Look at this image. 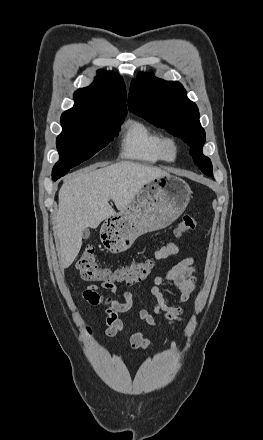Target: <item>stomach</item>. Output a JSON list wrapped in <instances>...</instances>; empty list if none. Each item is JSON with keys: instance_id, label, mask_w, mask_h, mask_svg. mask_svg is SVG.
Masks as SVG:
<instances>
[{"instance_id": "0dacf381", "label": "stomach", "mask_w": 263, "mask_h": 440, "mask_svg": "<svg viewBox=\"0 0 263 440\" xmlns=\"http://www.w3.org/2000/svg\"><path fill=\"white\" fill-rule=\"evenodd\" d=\"M191 193L189 185L179 177L168 174L153 179L125 209L105 219L101 228L105 247L120 253L139 236L169 226L184 212Z\"/></svg>"}]
</instances>
